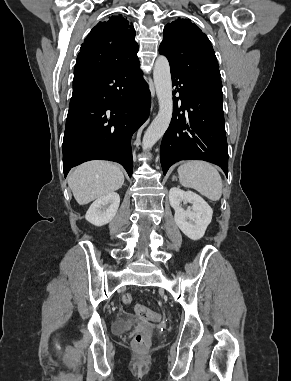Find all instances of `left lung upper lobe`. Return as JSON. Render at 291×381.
<instances>
[{
	"mask_svg": "<svg viewBox=\"0 0 291 381\" xmlns=\"http://www.w3.org/2000/svg\"><path fill=\"white\" fill-rule=\"evenodd\" d=\"M159 52L170 68L204 86L222 87L219 65L210 40L190 20L180 17L164 27Z\"/></svg>",
	"mask_w": 291,
	"mask_h": 381,
	"instance_id": "1",
	"label": "left lung upper lobe"
}]
</instances>
